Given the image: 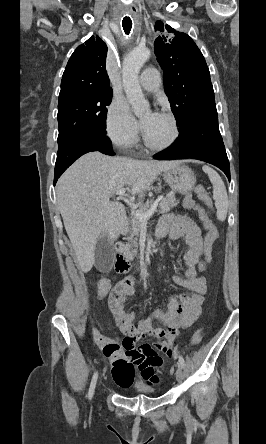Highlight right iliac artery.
<instances>
[{
  "mask_svg": "<svg viewBox=\"0 0 266 444\" xmlns=\"http://www.w3.org/2000/svg\"><path fill=\"white\" fill-rule=\"evenodd\" d=\"M97 379H98V372H95V374L93 375V378L91 380V384H90V388H89V393H88L89 399H91L94 394V388H95Z\"/></svg>",
  "mask_w": 266,
  "mask_h": 444,
  "instance_id": "82829eb1",
  "label": "right iliac artery"
}]
</instances>
